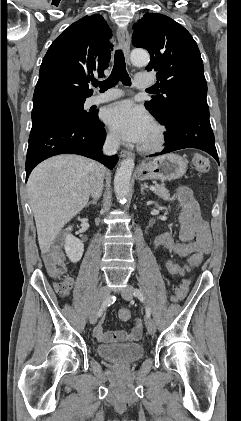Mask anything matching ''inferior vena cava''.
<instances>
[{
  "label": "inferior vena cava",
  "mask_w": 241,
  "mask_h": 421,
  "mask_svg": "<svg viewBox=\"0 0 241 421\" xmlns=\"http://www.w3.org/2000/svg\"><path fill=\"white\" fill-rule=\"evenodd\" d=\"M120 147V139L118 136L110 135L107 137L104 146L103 152L107 155H113L117 152ZM105 173V168L98 164L96 171L91 180L90 194L94 199H98L103 190V177Z\"/></svg>",
  "instance_id": "inferior-vena-cava-1"
}]
</instances>
